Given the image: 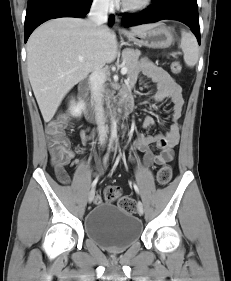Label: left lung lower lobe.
<instances>
[{"mask_svg":"<svg viewBox=\"0 0 231 281\" xmlns=\"http://www.w3.org/2000/svg\"><path fill=\"white\" fill-rule=\"evenodd\" d=\"M164 19L183 22L189 26L200 44L198 5L196 0H155L153 6L141 14L122 17L125 26L154 23Z\"/></svg>","mask_w":231,"mask_h":281,"instance_id":"obj_1","label":"left lung lower lobe"}]
</instances>
